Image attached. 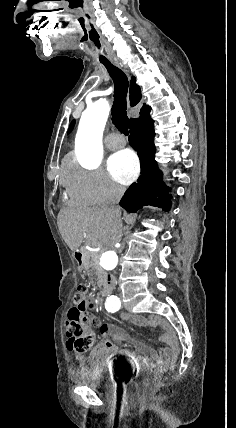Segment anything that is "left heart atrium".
<instances>
[{
    "label": "left heart atrium",
    "instance_id": "1",
    "mask_svg": "<svg viewBox=\"0 0 236 428\" xmlns=\"http://www.w3.org/2000/svg\"><path fill=\"white\" fill-rule=\"evenodd\" d=\"M108 170L114 180L127 185L139 174L138 159L133 151L122 150L109 159Z\"/></svg>",
    "mask_w": 236,
    "mask_h": 428
}]
</instances>
